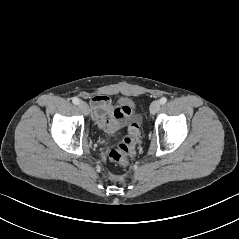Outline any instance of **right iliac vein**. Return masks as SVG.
I'll list each match as a JSON object with an SVG mask.
<instances>
[{
  "mask_svg": "<svg viewBox=\"0 0 239 239\" xmlns=\"http://www.w3.org/2000/svg\"><path fill=\"white\" fill-rule=\"evenodd\" d=\"M79 108L85 115L89 114V106L86 102L81 101L79 103Z\"/></svg>",
  "mask_w": 239,
  "mask_h": 239,
  "instance_id": "obj_1",
  "label": "right iliac vein"
}]
</instances>
